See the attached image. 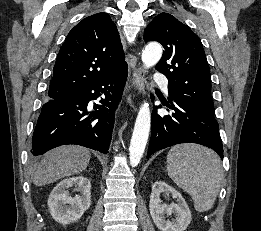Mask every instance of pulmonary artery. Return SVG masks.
<instances>
[{
	"label": "pulmonary artery",
	"mask_w": 261,
	"mask_h": 231,
	"mask_svg": "<svg viewBox=\"0 0 261 231\" xmlns=\"http://www.w3.org/2000/svg\"><path fill=\"white\" fill-rule=\"evenodd\" d=\"M154 82L156 84H158L159 86H161L163 89L167 90L168 88V79L167 77L164 75V74H161V73H157L155 76H154Z\"/></svg>",
	"instance_id": "e3ab8cb5"
}]
</instances>
